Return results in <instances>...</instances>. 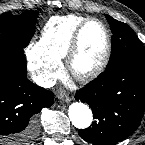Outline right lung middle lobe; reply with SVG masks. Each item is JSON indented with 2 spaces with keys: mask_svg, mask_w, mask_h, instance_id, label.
<instances>
[{
  "mask_svg": "<svg viewBox=\"0 0 145 145\" xmlns=\"http://www.w3.org/2000/svg\"><path fill=\"white\" fill-rule=\"evenodd\" d=\"M38 11H26L20 15L11 12L0 15V48H25L31 40Z\"/></svg>",
  "mask_w": 145,
  "mask_h": 145,
  "instance_id": "1",
  "label": "right lung middle lobe"
}]
</instances>
